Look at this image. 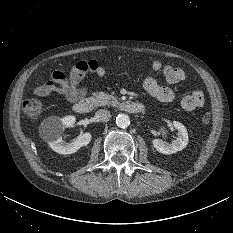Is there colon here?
I'll list each match as a JSON object with an SVG mask.
<instances>
[{"mask_svg": "<svg viewBox=\"0 0 233 233\" xmlns=\"http://www.w3.org/2000/svg\"><path fill=\"white\" fill-rule=\"evenodd\" d=\"M23 110L28 116H37L41 114L43 110V103L41 100L37 98L27 99L23 103ZM211 120V115L209 113H205L201 117V122L203 124H208Z\"/></svg>", "mask_w": 233, "mask_h": 233, "instance_id": "1", "label": "colon"}]
</instances>
